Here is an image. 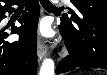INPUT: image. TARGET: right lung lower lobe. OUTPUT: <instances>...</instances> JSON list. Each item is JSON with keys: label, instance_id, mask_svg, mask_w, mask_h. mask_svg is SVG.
Here are the masks:
<instances>
[{"label": "right lung lower lobe", "instance_id": "1", "mask_svg": "<svg viewBox=\"0 0 107 75\" xmlns=\"http://www.w3.org/2000/svg\"><path fill=\"white\" fill-rule=\"evenodd\" d=\"M20 0H10L0 7V21L5 18L6 12H13L12 5ZM26 7L19 22L20 27H13L11 33L19 34V39L7 42L10 35L0 28V74L1 75H36L37 45L36 33L40 13L37 0H26Z\"/></svg>", "mask_w": 107, "mask_h": 75}]
</instances>
